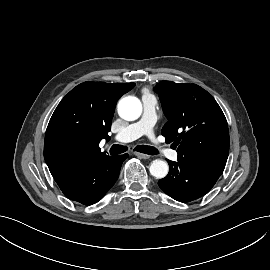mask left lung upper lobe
I'll list each match as a JSON object with an SVG mask.
<instances>
[{
    "label": "left lung upper lobe",
    "instance_id": "left-lung-upper-lobe-1",
    "mask_svg": "<svg viewBox=\"0 0 270 270\" xmlns=\"http://www.w3.org/2000/svg\"><path fill=\"white\" fill-rule=\"evenodd\" d=\"M159 94L168 121L162 129L178 157L224 170L229 154L226 118L215 99L195 84L162 81Z\"/></svg>",
    "mask_w": 270,
    "mask_h": 270
}]
</instances>
